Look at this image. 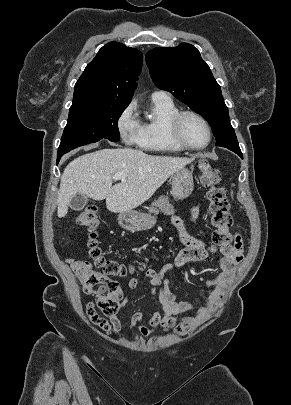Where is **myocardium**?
I'll use <instances>...</instances> for the list:
<instances>
[{
	"label": "myocardium",
	"mask_w": 291,
	"mask_h": 405,
	"mask_svg": "<svg viewBox=\"0 0 291 405\" xmlns=\"http://www.w3.org/2000/svg\"><path fill=\"white\" fill-rule=\"evenodd\" d=\"M188 116L196 118L204 125V127L207 131V135H208L207 141L204 145L193 146L184 139L183 134H182V124H183L184 119ZM169 131H170L171 138L177 145H179L183 149L191 150V151H200V150L207 148L209 146V144L211 143L212 135H213L211 126L208 123V121L206 120V118L204 116H202L200 113L193 111V110H181L178 113H176L170 121Z\"/></svg>",
	"instance_id": "f54148a6"
}]
</instances>
